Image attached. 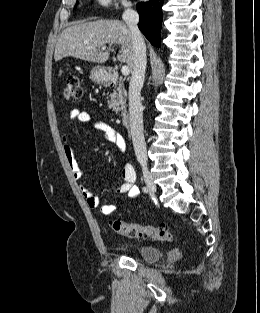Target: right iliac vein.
<instances>
[{"mask_svg": "<svg viewBox=\"0 0 260 313\" xmlns=\"http://www.w3.org/2000/svg\"><path fill=\"white\" fill-rule=\"evenodd\" d=\"M143 178L150 194L154 195L156 192V184L151 173L147 169H143Z\"/></svg>", "mask_w": 260, "mask_h": 313, "instance_id": "right-iliac-vein-1", "label": "right iliac vein"}]
</instances>
